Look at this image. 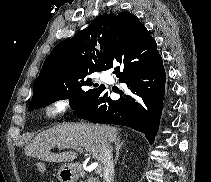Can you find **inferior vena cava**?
I'll return each instance as SVG.
<instances>
[{"label":"inferior vena cava","instance_id":"602c4592","mask_svg":"<svg viewBox=\"0 0 211 182\" xmlns=\"http://www.w3.org/2000/svg\"><path fill=\"white\" fill-rule=\"evenodd\" d=\"M104 182H114V163L112 146L106 144L103 148Z\"/></svg>","mask_w":211,"mask_h":182}]
</instances>
